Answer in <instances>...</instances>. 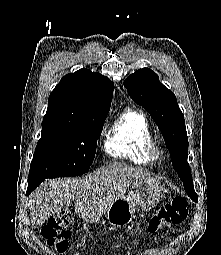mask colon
I'll use <instances>...</instances> for the list:
<instances>
[{
    "instance_id": "5ec220e1",
    "label": "colon",
    "mask_w": 221,
    "mask_h": 255,
    "mask_svg": "<svg viewBox=\"0 0 221 255\" xmlns=\"http://www.w3.org/2000/svg\"><path fill=\"white\" fill-rule=\"evenodd\" d=\"M187 201L176 197L162 206L148 221L147 229L154 233L159 229L182 222L188 215ZM73 217L68 209L52 216L42 228V236L47 245L58 253H65L71 236Z\"/></svg>"
}]
</instances>
